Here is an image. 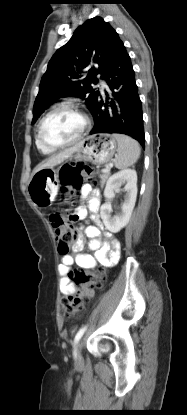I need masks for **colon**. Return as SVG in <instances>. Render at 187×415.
Masks as SVG:
<instances>
[{
	"label": "colon",
	"mask_w": 187,
	"mask_h": 415,
	"mask_svg": "<svg viewBox=\"0 0 187 415\" xmlns=\"http://www.w3.org/2000/svg\"><path fill=\"white\" fill-rule=\"evenodd\" d=\"M94 170L91 167L69 165L60 173L62 193L65 196L76 195L84 180H93ZM50 223L55 231L58 241V251L65 255L76 240V232L72 225L75 217L66 219L62 214L53 212L49 215ZM72 279L78 286L76 295H71L62 300L61 306L66 318L78 315L84 310L85 304L93 297L94 290L100 288L105 281V269L83 270L76 269L72 273Z\"/></svg>",
	"instance_id": "1"
}]
</instances>
